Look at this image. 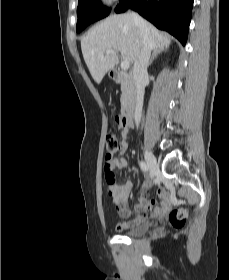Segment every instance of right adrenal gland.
<instances>
[{
    "mask_svg": "<svg viewBox=\"0 0 229 280\" xmlns=\"http://www.w3.org/2000/svg\"><path fill=\"white\" fill-rule=\"evenodd\" d=\"M165 49L163 47H158V48H155L154 51H153V55L149 61V64L148 66H150L153 62V60L158 57V55H160Z\"/></svg>",
    "mask_w": 229,
    "mask_h": 280,
    "instance_id": "obj_1",
    "label": "right adrenal gland"
}]
</instances>
